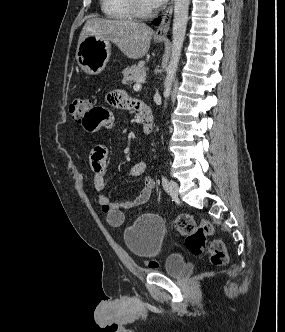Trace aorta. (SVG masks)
<instances>
[{
    "mask_svg": "<svg viewBox=\"0 0 285 332\" xmlns=\"http://www.w3.org/2000/svg\"><path fill=\"white\" fill-rule=\"evenodd\" d=\"M188 8L189 0H175L174 20L172 28V54L164 82V96L166 100L170 96L172 84L181 56L188 21ZM166 105L167 103L165 101L164 107H166Z\"/></svg>",
    "mask_w": 285,
    "mask_h": 332,
    "instance_id": "1",
    "label": "aorta"
}]
</instances>
